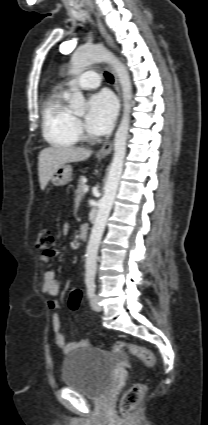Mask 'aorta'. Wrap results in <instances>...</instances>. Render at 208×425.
<instances>
[{"label":"aorta","instance_id":"762f6f07","mask_svg":"<svg viewBox=\"0 0 208 425\" xmlns=\"http://www.w3.org/2000/svg\"><path fill=\"white\" fill-rule=\"evenodd\" d=\"M95 62H108L114 68L122 90L123 115L115 133L114 155L104 187V194L99 202L97 217L86 249V280H94L95 278L99 245L121 179L126 155V141L130 125V102L132 99V84L126 66L104 47L92 46L78 48L71 58L70 73L79 75L87 66ZM72 92L69 106L76 112H82L85 105V98L77 87H73Z\"/></svg>","mask_w":208,"mask_h":425}]
</instances>
